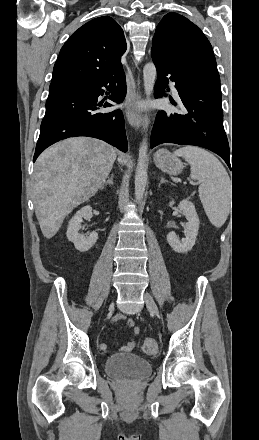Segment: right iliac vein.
I'll return each instance as SVG.
<instances>
[{
	"label": "right iliac vein",
	"mask_w": 259,
	"mask_h": 440,
	"mask_svg": "<svg viewBox=\"0 0 259 440\" xmlns=\"http://www.w3.org/2000/svg\"><path fill=\"white\" fill-rule=\"evenodd\" d=\"M110 307H113V303H111Z\"/></svg>",
	"instance_id": "obj_1"
}]
</instances>
